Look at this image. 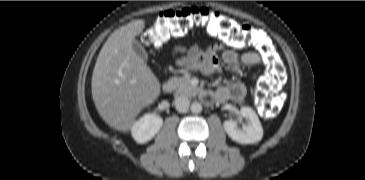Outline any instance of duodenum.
<instances>
[{
	"instance_id": "410a0bca",
	"label": "duodenum",
	"mask_w": 365,
	"mask_h": 180,
	"mask_svg": "<svg viewBox=\"0 0 365 180\" xmlns=\"http://www.w3.org/2000/svg\"><path fill=\"white\" fill-rule=\"evenodd\" d=\"M162 89L166 93H171L175 89V84L173 81L167 80L163 83ZM200 96L201 100L205 103H209L212 100V95L207 91L202 92Z\"/></svg>"
}]
</instances>
